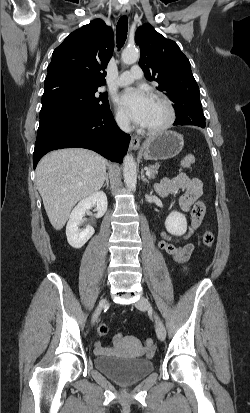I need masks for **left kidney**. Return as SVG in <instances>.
<instances>
[{
  "mask_svg": "<svg viewBox=\"0 0 250 413\" xmlns=\"http://www.w3.org/2000/svg\"><path fill=\"white\" fill-rule=\"evenodd\" d=\"M165 228L168 233L181 236L187 231V220L182 213L173 211L165 220Z\"/></svg>",
  "mask_w": 250,
  "mask_h": 413,
  "instance_id": "5707ae66",
  "label": "left kidney"
}]
</instances>
